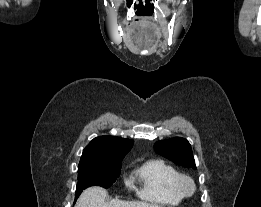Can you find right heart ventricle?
<instances>
[{
  "label": "right heart ventricle",
  "instance_id": "right-heart-ventricle-1",
  "mask_svg": "<svg viewBox=\"0 0 261 207\" xmlns=\"http://www.w3.org/2000/svg\"><path fill=\"white\" fill-rule=\"evenodd\" d=\"M134 175L140 183V198L160 205L175 206L183 195L177 188L179 172L161 159H150L141 163Z\"/></svg>",
  "mask_w": 261,
  "mask_h": 207
}]
</instances>
